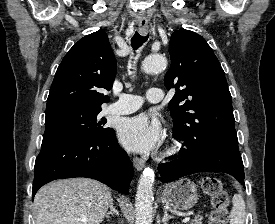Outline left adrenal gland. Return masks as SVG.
<instances>
[{
  "label": "left adrenal gland",
  "mask_w": 275,
  "mask_h": 224,
  "mask_svg": "<svg viewBox=\"0 0 275 224\" xmlns=\"http://www.w3.org/2000/svg\"><path fill=\"white\" fill-rule=\"evenodd\" d=\"M172 218H173V217L170 216V215H168L167 211L165 210V211H164V216H163V218H162V223H163V224H167L168 221H169L170 219H172Z\"/></svg>",
  "instance_id": "1"
}]
</instances>
